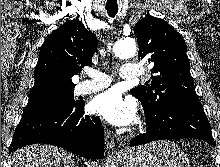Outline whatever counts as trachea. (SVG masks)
I'll return each instance as SVG.
<instances>
[{
    "label": "trachea",
    "mask_w": 220,
    "mask_h": 167,
    "mask_svg": "<svg viewBox=\"0 0 220 167\" xmlns=\"http://www.w3.org/2000/svg\"><path fill=\"white\" fill-rule=\"evenodd\" d=\"M106 10L109 16L114 17L118 12L117 6H106Z\"/></svg>",
    "instance_id": "trachea-1"
}]
</instances>
